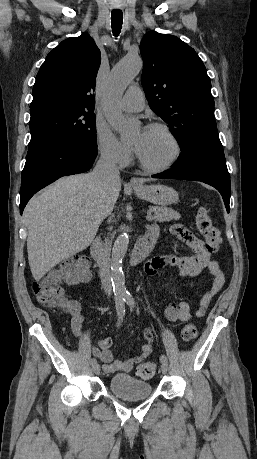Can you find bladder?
<instances>
[{"label": "bladder", "mask_w": 257, "mask_h": 459, "mask_svg": "<svg viewBox=\"0 0 257 459\" xmlns=\"http://www.w3.org/2000/svg\"><path fill=\"white\" fill-rule=\"evenodd\" d=\"M109 391L123 400H141L152 394L149 383L135 378L130 374L118 373L109 381Z\"/></svg>", "instance_id": "bladder-1"}]
</instances>
